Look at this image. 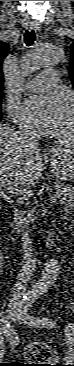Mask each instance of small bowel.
<instances>
[{
    "instance_id": "small-bowel-1",
    "label": "small bowel",
    "mask_w": 74,
    "mask_h": 366,
    "mask_svg": "<svg viewBox=\"0 0 74 366\" xmlns=\"http://www.w3.org/2000/svg\"><path fill=\"white\" fill-rule=\"evenodd\" d=\"M56 273H57V269L55 267H49L46 270L45 274L42 276L41 281L42 280H43V282L51 281L55 277Z\"/></svg>"
}]
</instances>
